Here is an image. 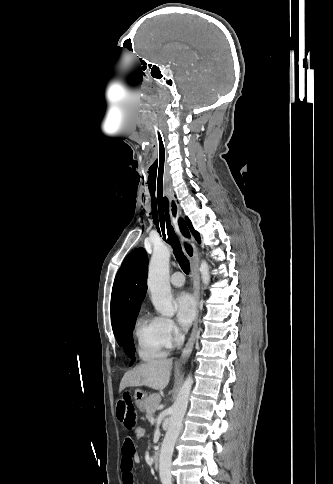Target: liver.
Returning <instances> with one entry per match:
<instances>
[{"label": "liver", "mask_w": 333, "mask_h": 484, "mask_svg": "<svg viewBox=\"0 0 333 484\" xmlns=\"http://www.w3.org/2000/svg\"><path fill=\"white\" fill-rule=\"evenodd\" d=\"M172 366V359H156L139 364L124 374L119 392L133 386H147L154 390H162L169 383Z\"/></svg>", "instance_id": "liver-1"}]
</instances>
